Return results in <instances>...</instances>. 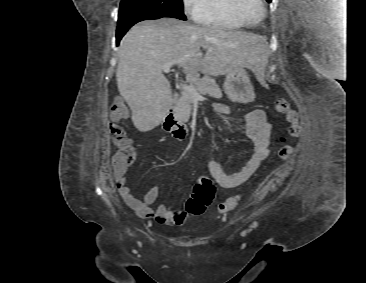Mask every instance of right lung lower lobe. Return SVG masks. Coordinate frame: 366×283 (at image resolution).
Listing matches in <instances>:
<instances>
[{"label": "right lung lower lobe", "mask_w": 366, "mask_h": 283, "mask_svg": "<svg viewBox=\"0 0 366 283\" xmlns=\"http://www.w3.org/2000/svg\"><path fill=\"white\" fill-rule=\"evenodd\" d=\"M162 18L160 16H148V17H132V18H125L118 21L117 25V33H116V41L117 44L120 42L121 38L124 34L128 31V29L136 24L137 22L149 19H159Z\"/></svg>", "instance_id": "1"}]
</instances>
